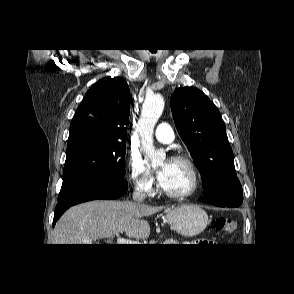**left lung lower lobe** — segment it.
I'll list each match as a JSON object with an SVG mask.
<instances>
[{
	"label": "left lung lower lobe",
	"mask_w": 294,
	"mask_h": 294,
	"mask_svg": "<svg viewBox=\"0 0 294 294\" xmlns=\"http://www.w3.org/2000/svg\"><path fill=\"white\" fill-rule=\"evenodd\" d=\"M199 201L220 207H239L243 202L242 192H222L199 198Z\"/></svg>",
	"instance_id": "1"
}]
</instances>
